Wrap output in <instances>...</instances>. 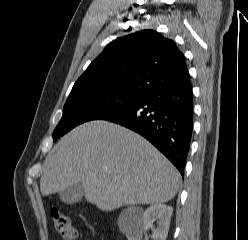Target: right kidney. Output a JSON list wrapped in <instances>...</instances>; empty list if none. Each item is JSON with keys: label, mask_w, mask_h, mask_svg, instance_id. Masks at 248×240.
Listing matches in <instances>:
<instances>
[{"label": "right kidney", "mask_w": 248, "mask_h": 240, "mask_svg": "<svg viewBox=\"0 0 248 240\" xmlns=\"http://www.w3.org/2000/svg\"><path fill=\"white\" fill-rule=\"evenodd\" d=\"M172 212L173 208L171 206L162 203L153 204L145 210L141 220L126 231L127 239L142 240L143 233L152 228L151 238L153 240H166ZM154 222H157L156 228L153 227Z\"/></svg>", "instance_id": "obj_1"}]
</instances>
